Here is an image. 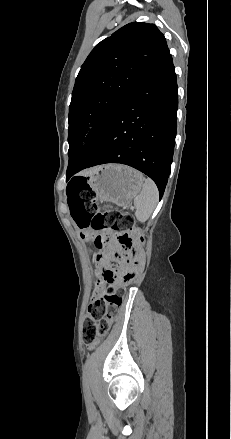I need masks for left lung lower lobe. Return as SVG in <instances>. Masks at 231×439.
<instances>
[{"instance_id":"left-lung-lower-lobe-1","label":"left lung lower lobe","mask_w":231,"mask_h":439,"mask_svg":"<svg viewBox=\"0 0 231 439\" xmlns=\"http://www.w3.org/2000/svg\"><path fill=\"white\" fill-rule=\"evenodd\" d=\"M177 89L169 53L128 92L102 129L69 160L67 178L95 165L121 163L148 175L161 198L173 159Z\"/></svg>"}]
</instances>
